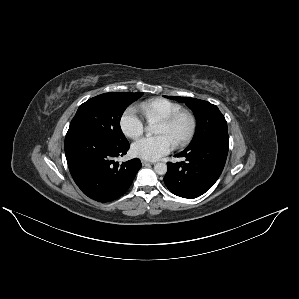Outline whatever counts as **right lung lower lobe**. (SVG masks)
<instances>
[{
  "instance_id": "obj_1",
  "label": "right lung lower lobe",
  "mask_w": 299,
  "mask_h": 299,
  "mask_svg": "<svg viewBox=\"0 0 299 299\" xmlns=\"http://www.w3.org/2000/svg\"><path fill=\"white\" fill-rule=\"evenodd\" d=\"M65 155L70 173L81 191L99 202L122 196L141 167L139 159L119 163L129 143H115L95 133H75L65 137Z\"/></svg>"
}]
</instances>
